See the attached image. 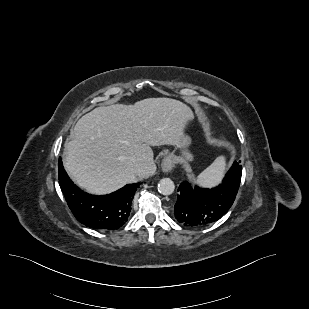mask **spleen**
Segmentation results:
<instances>
[{"label": "spleen", "instance_id": "spleen-1", "mask_svg": "<svg viewBox=\"0 0 309 309\" xmlns=\"http://www.w3.org/2000/svg\"><path fill=\"white\" fill-rule=\"evenodd\" d=\"M225 168V157L219 156L209 167L198 175L196 182L206 187L217 185L224 174Z\"/></svg>", "mask_w": 309, "mask_h": 309}]
</instances>
